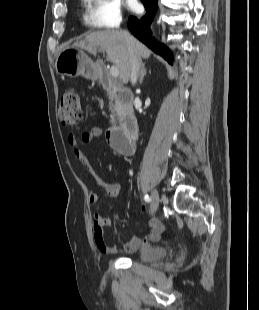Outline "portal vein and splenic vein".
Masks as SVG:
<instances>
[{"mask_svg": "<svg viewBox=\"0 0 259 310\" xmlns=\"http://www.w3.org/2000/svg\"><path fill=\"white\" fill-rule=\"evenodd\" d=\"M110 74H111V76H113V77H118V75H119V70H118V68L116 67V66H111V68H110Z\"/></svg>", "mask_w": 259, "mask_h": 310, "instance_id": "1", "label": "portal vein and splenic vein"}]
</instances>
